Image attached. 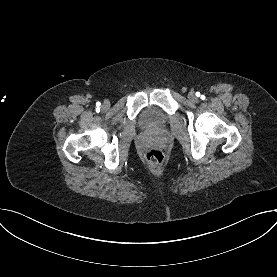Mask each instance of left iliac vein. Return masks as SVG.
I'll return each instance as SVG.
<instances>
[{
    "mask_svg": "<svg viewBox=\"0 0 277 277\" xmlns=\"http://www.w3.org/2000/svg\"><path fill=\"white\" fill-rule=\"evenodd\" d=\"M188 98L192 102H196L197 101V97H196V95L193 92L189 93Z\"/></svg>",
    "mask_w": 277,
    "mask_h": 277,
    "instance_id": "left-iliac-vein-1",
    "label": "left iliac vein"
}]
</instances>
